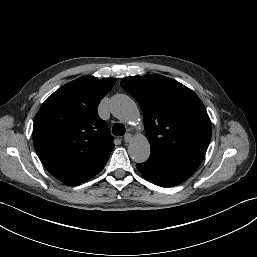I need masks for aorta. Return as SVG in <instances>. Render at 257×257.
<instances>
[{
    "label": "aorta",
    "instance_id": "1",
    "mask_svg": "<svg viewBox=\"0 0 257 257\" xmlns=\"http://www.w3.org/2000/svg\"><path fill=\"white\" fill-rule=\"evenodd\" d=\"M109 108L119 120L131 124L139 118L136 103L127 95L118 94L111 98ZM129 156L137 163L145 162L150 155V144L146 137L136 136L128 145Z\"/></svg>",
    "mask_w": 257,
    "mask_h": 257
}]
</instances>
